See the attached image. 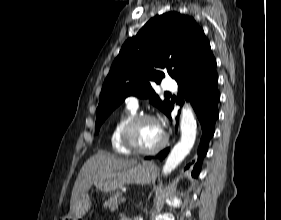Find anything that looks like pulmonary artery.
Masks as SVG:
<instances>
[{
    "label": "pulmonary artery",
    "instance_id": "e3ab8cb5",
    "mask_svg": "<svg viewBox=\"0 0 281 220\" xmlns=\"http://www.w3.org/2000/svg\"><path fill=\"white\" fill-rule=\"evenodd\" d=\"M163 89L164 90H167V91H176L177 90V84L174 80H171V79H168V80H165L163 82V85H162ZM126 103H127V106L132 108V109H137L138 106H139V102H138V99L134 96H130L126 99Z\"/></svg>",
    "mask_w": 281,
    "mask_h": 220
}]
</instances>
